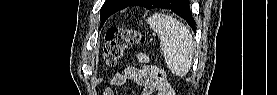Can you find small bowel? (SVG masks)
Instances as JSON below:
<instances>
[{
  "label": "small bowel",
  "mask_w": 277,
  "mask_h": 95,
  "mask_svg": "<svg viewBox=\"0 0 277 95\" xmlns=\"http://www.w3.org/2000/svg\"><path fill=\"white\" fill-rule=\"evenodd\" d=\"M137 60L141 64V67L132 66L127 68L124 73L112 77L111 84L114 86H124L129 80L134 79L139 84L145 86L143 95H170L167 93L169 87L155 80L150 58L146 54L140 53L137 56ZM104 94L113 95L115 92L111 88H106Z\"/></svg>",
  "instance_id": "small-bowel-1"
}]
</instances>
